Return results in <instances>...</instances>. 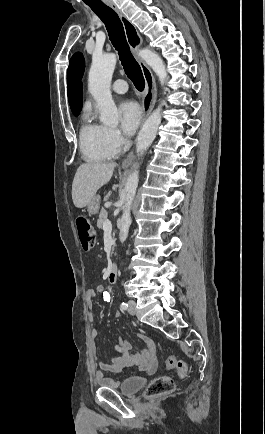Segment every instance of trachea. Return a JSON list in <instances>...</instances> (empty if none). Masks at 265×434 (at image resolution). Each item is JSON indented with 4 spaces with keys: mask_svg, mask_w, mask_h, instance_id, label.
I'll return each instance as SVG.
<instances>
[{
    "mask_svg": "<svg viewBox=\"0 0 265 434\" xmlns=\"http://www.w3.org/2000/svg\"><path fill=\"white\" fill-rule=\"evenodd\" d=\"M96 15L105 23L109 38L118 51L124 71L137 90H144L145 81L139 63L131 54L126 41L123 24L117 13L104 3H87Z\"/></svg>",
    "mask_w": 265,
    "mask_h": 434,
    "instance_id": "1",
    "label": "trachea"
}]
</instances>
